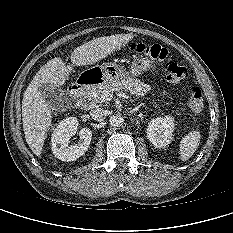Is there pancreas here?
<instances>
[{
  "mask_svg": "<svg viewBox=\"0 0 233 233\" xmlns=\"http://www.w3.org/2000/svg\"><path fill=\"white\" fill-rule=\"evenodd\" d=\"M129 91L136 97H143L148 91L150 86L141 82L138 79L130 78L126 81H110L92 86L89 90L84 93V97L87 98L88 102L93 105H101L106 103L105 94L107 92H113L118 90Z\"/></svg>",
  "mask_w": 233,
  "mask_h": 233,
  "instance_id": "pancreas-1",
  "label": "pancreas"
}]
</instances>
